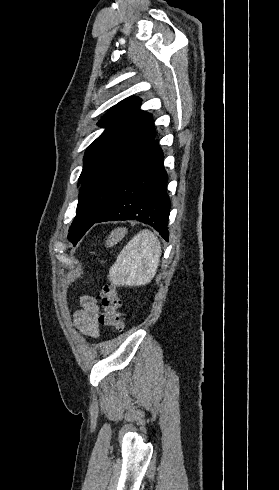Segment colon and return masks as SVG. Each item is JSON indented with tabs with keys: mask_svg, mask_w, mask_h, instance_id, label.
<instances>
[{
	"mask_svg": "<svg viewBox=\"0 0 279 490\" xmlns=\"http://www.w3.org/2000/svg\"><path fill=\"white\" fill-rule=\"evenodd\" d=\"M100 299L99 323L107 327L122 330L125 322L120 313L121 299L115 286L111 283L105 284L102 287Z\"/></svg>",
	"mask_w": 279,
	"mask_h": 490,
	"instance_id": "5ec220e1",
	"label": "colon"
}]
</instances>
